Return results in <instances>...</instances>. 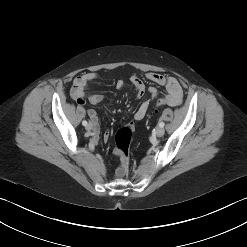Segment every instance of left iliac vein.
I'll list each match as a JSON object with an SVG mask.
<instances>
[{"label": "left iliac vein", "mask_w": 247, "mask_h": 247, "mask_svg": "<svg viewBox=\"0 0 247 247\" xmlns=\"http://www.w3.org/2000/svg\"><path fill=\"white\" fill-rule=\"evenodd\" d=\"M164 133H165V130H164L163 127H158V128H156V130H155V135H156L157 137H162V136L164 135Z\"/></svg>", "instance_id": "4c4485c4"}]
</instances>
